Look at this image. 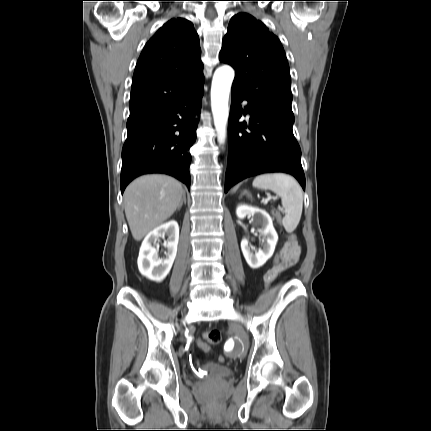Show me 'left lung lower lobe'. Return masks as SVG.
I'll use <instances>...</instances> for the list:
<instances>
[{
  "label": "left lung lower lobe",
  "instance_id": "left-lung-lower-lobe-1",
  "mask_svg": "<svg viewBox=\"0 0 431 431\" xmlns=\"http://www.w3.org/2000/svg\"><path fill=\"white\" fill-rule=\"evenodd\" d=\"M232 96L225 192L247 177L269 172L289 173L305 189L301 150L292 131L294 116L250 101L234 87ZM243 100L248 101L244 110L240 105ZM242 113L250 114L249 125L238 122ZM247 127L250 132L245 130Z\"/></svg>",
  "mask_w": 431,
  "mask_h": 431
}]
</instances>
